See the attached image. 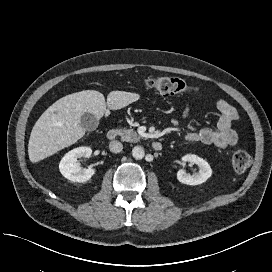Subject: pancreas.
<instances>
[{
  "label": "pancreas",
  "instance_id": "cf45deb5",
  "mask_svg": "<svg viewBox=\"0 0 272 272\" xmlns=\"http://www.w3.org/2000/svg\"><path fill=\"white\" fill-rule=\"evenodd\" d=\"M119 135L121 136L122 140L126 142L136 143L141 139V136L138 135V133L133 129H120Z\"/></svg>",
  "mask_w": 272,
  "mask_h": 272
}]
</instances>
